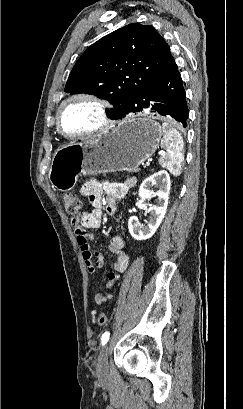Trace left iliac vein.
I'll use <instances>...</instances> for the list:
<instances>
[{
	"label": "left iliac vein",
	"mask_w": 243,
	"mask_h": 409,
	"mask_svg": "<svg viewBox=\"0 0 243 409\" xmlns=\"http://www.w3.org/2000/svg\"><path fill=\"white\" fill-rule=\"evenodd\" d=\"M108 346H105L100 355L98 356L96 373L99 379H104L107 377L109 364H108Z\"/></svg>",
	"instance_id": "4c4485c4"
}]
</instances>
